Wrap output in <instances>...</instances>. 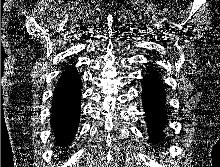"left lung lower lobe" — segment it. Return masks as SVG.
Masks as SVG:
<instances>
[{"label":"left lung lower lobe","mask_w":220,"mask_h":167,"mask_svg":"<svg viewBox=\"0 0 220 167\" xmlns=\"http://www.w3.org/2000/svg\"><path fill=\"white\" fill-rule=\"evenodd\" d=\"M142 103L146 122L150 131V142L156 144L163 137V127L167 123L165 91L159 74L151 67L143 80Z\"/></svg>","instance_id":"obj_1"}]
</instances>
